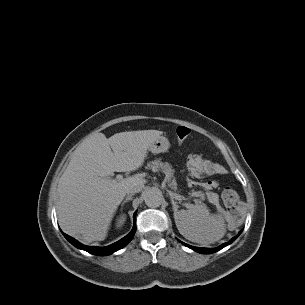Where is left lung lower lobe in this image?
Wrapping results in <instances>:
<instances>
[{
  "instance_id": "obj_1",
  "label": "left lung lower lobe",
  "mask_w": 305,
  "mask_h": 305,
  "mask_svg": "<svg viewBox=\"0 0 305 305\" xmlns=\"http://www.w3.org/2000/svg\"><path fill=\"white\" fill-rule=\"evenodd\" d=\"M241 232H242V231H240V232L238 233V235L235 236V237H233L229 242H226V243L222 244L221 246H219V247H217V248H200V247L190 246V245L185 244V243H183V242H181V241H180V242H181L182 244H184L185 246H187V247H189V248H191V249H193L194 251H197V252H199V253H202V254H211V253L217 252V251H219L220 249H222V248L226 247L227 245L231 244V243L240 235Z\"/></svg>"
}]
</instances>
